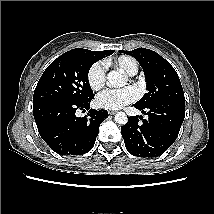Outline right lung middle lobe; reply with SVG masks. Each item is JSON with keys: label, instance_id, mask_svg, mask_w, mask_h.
<instances>
[{"label": "right lung middle lobe", "instance_id": "1", "mask_svg": "<svg viewBox=\"0 0 214 214\" xmlns=\"http://www.w3.org/2000/svg\"><path fill=\"white\" fill-rule=\"evenodd\" d=\"M102 59L94 51L76 48L59 56L44 71L34 91L33 105L48 100H87L93 97L90 67Z\"/></svg>", "mask_w": 214, "mask_h": 214}]
</instances>
